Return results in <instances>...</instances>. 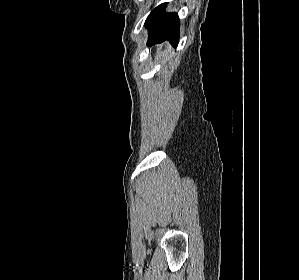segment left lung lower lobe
<instances>
[{
	"label": "left lung lower lobe",
	"instance_id": "left-lung-lower-lobe-1",
	"mask_svg": "<svg viewBox=\"0 0 299 280\" xmlns=\"http://www.w3.org/2000/svg\"><path fill=\"white\" fill-rule=\"evenodd\" d=\"M167 3L157 6L151 11L145 21V27L149 30L147 45L152 46L169 40L177 44L179 40V17L176 13H165Z\"/></svg>",
	"mask_w": 299,
	"mask_h": 280
}]
</instances>
